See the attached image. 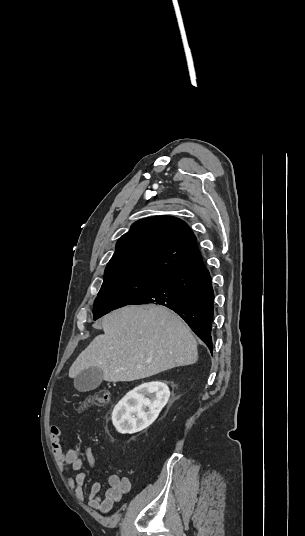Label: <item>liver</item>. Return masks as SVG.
I'll return each mask as SVG.
<instances>
[{
  "mask_svg": "<svg viewBox=\"0 0 305 536\" xmlns=\"http://www.w3.org/2000/svg\"><path fill=\"white\" fill-rule=\"evenodd\" d=\"M96 336L69 368V378L97 366L105 382H133L197 362V342L165 306H126L102 318Z\"/></svg>",
  "mask_w": 305,
  "mask_h": 536,
  "instance_id": "1",
  "label": "liver"
}]
</instances>
